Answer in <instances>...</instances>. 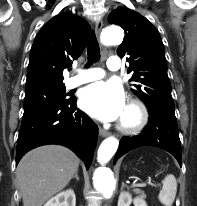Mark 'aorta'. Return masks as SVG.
I'll use <instances>...</instances> for the list:
<instances>
[{
	"mask_svg": "<svg viewBox=\"0 0 197 206\" xmlns=\"http://www.w3.org/2000/svg\"><path fill=\"white\" fill-rule=\"evenodd\" d=\"M124 34L119 27H107L103 30L101 35V40L105 45H116L120 44L123 40ZM119 142L114 137H109L105 139L97 153V160L102 165L97 168L94 173V186L96 190L102 195L108 197L112 195L116 188V181L113 177L112 172L103 167L116 153L118 149Z\"/></svg>",
	"mask_w": 197,
	"mask_h": 206,
	"instance_id": "762f6f07",
	"label": "aorta"
}]
</instances>
